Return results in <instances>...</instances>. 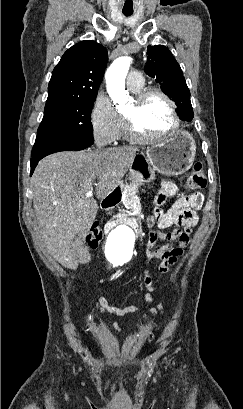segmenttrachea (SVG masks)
<instances>
[{
  "mask_svg": "<svg viewBox=\"0 0 243 409\" xmlns=\"http://www.w3.org/2000/svg\"><path fill=\"white\" fill-rule=\"evenodd\" d=\"M123 14L125 15V16H130V15H132L133 14V12H123Z\"/></svg>",
  "mask_w": 243,
  "mask_h": 409,
  "instance_id": "3493384b",
  "label": "trachea"
}]
</instances>
